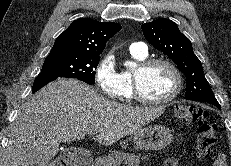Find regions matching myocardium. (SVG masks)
Masks as SVG:
<instances>
[{"label": "myocardium", "mask_w": 231, "mask_h": 166, "mask_svg": "<svg viewBox=\"0 0 231 166\" xmlns=\"http://www.w3.org/2000/svg\"><path fill=\"white\" fill-rule=\"evenodd\" d=\"M157 64H162L167 66L171 72L174 75L175 79V87L172 93L160 100H154L146 97L142 91H141V86H140V75L150 67L157 65ZM132 88H133V98L138 100L139 102L147 105H153V106H164L168 105L171 102H173L180 92L182 91L183 88V77L182 74L179 70V68L176 66L174 62L167 58H162V57H156V58H149L145 59L137 64V67L135 71L132 73Z\"/></svg>", "instance_id": "f54148a6"}]
</instances>
